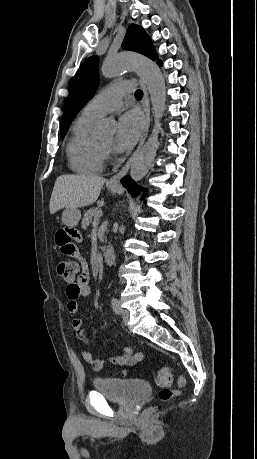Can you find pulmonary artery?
Segmentation results:
<instances>
[{
  "mask_svg": "<svg viewBox=\"0 0 257 459\" xmlns=\"http://www.w3.org/2000/svg\"><path fill=\"white\" fill-rule=\"evenodd\" d=\"M132 85L133 83L130 80H124L110 85L86 105L83 113L95 118H100L119 109L122 105L123 98L130 95Z\"/></svg>",
  "mask_w": 257,
  "mask_h": 459,
  "instance_id": "pulmonary-artery-1",
  "label": "pulmonary artery"
}]
</instances>
